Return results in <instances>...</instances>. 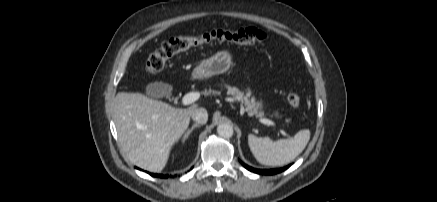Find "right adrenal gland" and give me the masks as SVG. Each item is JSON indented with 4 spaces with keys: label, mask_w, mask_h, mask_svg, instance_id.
Returning <instances> with one entry per match:
<instances>
[{
    "label": "right adrenal gland",
    "mask_w": 437,
    "mask_h": 202,
    "mask_svg": "<svg viewBox=\"0 0 437 202\" xmlns=\"http://www.w3.org/2000/svg\"><path fill=\"white\" fill-rule=\"evenodd\" d=\"M201 124H194L190 129L187 130V132L185 133L184 137H183V142H185V140L189 137V135L192 133V131L196 128V127H200Z\"/></svg>",
    "instance_id": "1"
}]
</instances>
